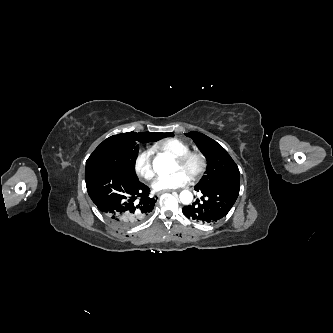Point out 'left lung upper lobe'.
I'll list each match as a JSON object with an SVG mask.
<instances>
[{"label":"left lung upper lobe","instance_id":"1","mask_svg":"<svg viewBox=\"0 0 333 333\" xmlns=\"http://www.w3.org/2000/svg\"><path fill=\"white\" fill-rule=\"evenodd\" d=\"M185 135L193 139L207 159L208 166L206 174L196 187L206 188L227 182H240V172L237 165L219 143L195 131L186 133ZM226 198H228L227 194L221 196L217 201H225Z\"/></svg>","mask_w":333,"mask_h":333}]
</instances>
